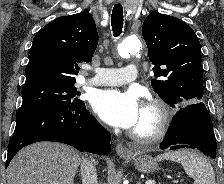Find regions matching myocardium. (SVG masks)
I'll use <instances>...</instances> for the list:
<instances>
[{
    "mask_svg": "<svg viewBox=\"0 0 224 184\" xmlns=\"http://www.w3.org/2000/svg\"><path fill=\"white\" fill-rule=\"evenodd\" d=\"M144 108L150 110L156 116L152 131L148 134H141L135 130H131L129 135L139 143L158 142L168 133L173 117L172 111L166 103L156 98L146 100Z\"/></svg>",
    "mask_w": 224,
    "mask_h": 184,
    "instance_id": "myocardium-1",
    "label": "myocardium"
}]
</instances>
